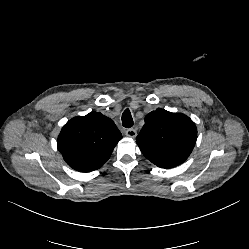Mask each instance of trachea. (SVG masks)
<instances>
[{"mask_svg": "<svg viewBox=\"0 0 249 249\" xmlns=\"http://www.w3.org/2000/svg\"><path fill=\"white\" fill-rule=\"evenodd\" d=\"M122 123L125 128H130L133 126V119L129 109H126L122 115Z\"/></svg>", "mask_w": 249, "mask_h": 249, "instance_id": "trachea-1", "label": "trachea"}]
</instances>
